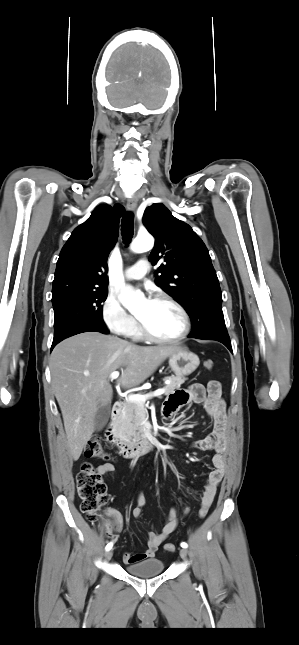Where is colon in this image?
Here are the masks:
<instances>
[{"instance_id":"1","label":"colon","mask_w":299,"mask_h":645,"mask_svg":"<svg viewBox=\"0 0 299 645\" xmlns=\"http://www.w3.org/2000/svg\"><path fill=\"white\" fill-rule=\"evenodd\" d=\"M204 367L208 370L213 368V361L207 359L204 361ZM213 388L219 384L217 381L210 382ZM84 456L88 459L102 458L106 459L107 455L104 453L99 438H91L84 449ZM77 491L81 498V511L85 514L86 518L91 522H96L99 519L100 511L108 500L107 488L103 482L100 474H98L93 466L89 463H83L76 476ZM208 513L206 507H201L199 510V517L205 518ZM107 532L109 536L113 535L114 530L117 528L112 523H107ZM165 550L174 552L176 547L172 543L165 545Z\"/></svg>"}]
</instances>
